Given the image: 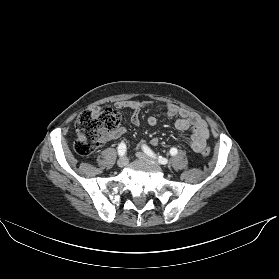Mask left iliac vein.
<instances>
[{
  "mask_svg": "<svg viewBox=\"0 0 279 279\" xmlns=\"http://www.w3.org/2000/svg\"><path fill=\"white\" fill-rule=\"evenodd\" d=\"M136 156H137L139 159H141V160H149V161H153V162L159 164V162H158L157 160H155V159L149 157L148 155H146V154H144V153H142V152H137V153H136Z\"/></svg>",
  "mask_w": 279,
  "mask_h": 279,
  "instance_id": "4c4485c4",
  "label": "left iliac vein"
}]
</instances>
